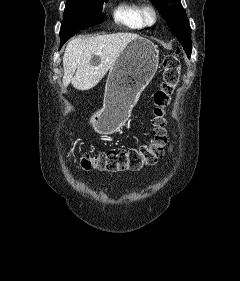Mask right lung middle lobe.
I'll use <instances>...</instances> for the list:
<instances>
[{
    "mask_svg": "<svg viewBox=\"0 0 240 281\" xmlns=\"http://www.w3.org/2000/svg\"><path fill=\"white\" fill-rule=\"evenodd\" d=\"M108 0H67L60 38L63 45L81 29L99 24L103 20V3Z\"/></svg>",
    "mask_w": 240,
    "mask_h": 281,
    "instance_id": "right-lung-middle-lobe-1",
    "label": "right lung middle lobe"
}]
</instances>
